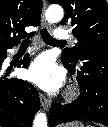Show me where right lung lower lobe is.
<instances>
[{
  "label": "right lung lower lobe",
  "mask_w": 108,
  "mask_h": 127,
  "mask_svg": "<svg viewBox=\"0 0 108 127\" xmlns=\"http://www.w3.org/2000/svg\"><path fill=\"white\" fill-rule=\"evenodd\" d=\"M16 45V44H15ZM14 45L0 47V125L3 127H30L40 108L37 90L26 81L3 76L1 66L6 51ZM30 58L26 55L17 67L27 68Z\"/></svg>",
  "instance_id": "98d812e1"
}]
</instances>
